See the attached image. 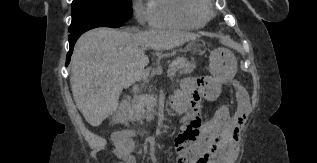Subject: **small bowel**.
Listing matches in <instances>:
<instances>
[{
    "mask_svg": "<svg viewBox=\"0 0 317 163\" xmlns=\"http://www.w3.org/2000/svg\"><path fill=\"white\" fill-rule=\"evenodd\" d=\"M219 92L220 82L211 77L187 79L175 90L171 106L184 113L181 131L174 139L177 163H232L235 159L239 131L250 111L249 98L245 94L243 101H238L233 115L221 109L212 124L204 125L202 101L215 100ZM134 150L131 135H120L116 145L120 163H137Z\"/></svg>",
    "mask_w": 317,
    "mask_h": 163,
    "instance_id": "obj_1",
    "label": "small bowel"
}]
</instances>
